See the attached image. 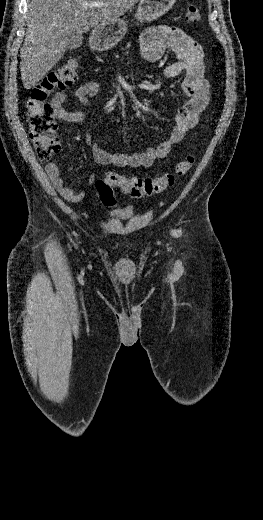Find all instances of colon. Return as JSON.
<instances>
[{"instance_id":"1","label":"colon","mask_w":263,"mask_h":520,"mask_svg":"<svg viewBox=\"0 0 263 520\" xmlns=\"http://www.w3.org/2000/svg\"><path fill=\"white\" fill-rule=\"evenodd\" d=\"M200 19L201 14L198 7L189 6L186 9L185 20L187 23L195 24ZM77 77L78 62L72 58L51 71L31 91L26 105V117L30 138L38 159L42 162L49 161L61 148L56 134L54 110L52 105L47 102V98L56 89L63 90L70 87ZM194 164L195 158L188 156L179 161L171 171L156 177L125 176L111 172L104 179L97 180L95 187L101 203L110 208L116 204L114 189H118L132 198L160 194L173 186L177 178L186 175Z\"/></svg>"}]
</instances>
